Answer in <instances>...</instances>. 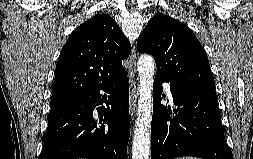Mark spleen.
Masks as SVG:
<instances>
[{
    "instance_id": "1",
    "label": "spleen",
    "mask_w": 253,
    "mask_h": 159,
    "mask_svg": "<svg viewBox=\"0 0 253 159\" xmlns=\"http://www.w3.org/2000/svg\"><path fill=\"white\" fill-rule=\"evenodd\" d=\"M176 159H198L196 157H183V158H176Z\"/></svg>"
}]
</instances>
